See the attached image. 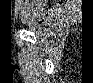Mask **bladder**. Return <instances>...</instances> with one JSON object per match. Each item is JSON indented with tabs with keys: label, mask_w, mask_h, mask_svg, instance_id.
<instances>
[{
	"label": "bladder",
	"mask_w": 93,
	"mask_h": 83,
	"mask_svg": "<svg viewBox=\"0 0 93 83\" xmlns=\"http://www.w3.org/2000/svg\"><path fill=\"white\" fill-rule=\"evenodd\" d=\"M38 35H44L43 31L41 29H36L35 31Z\"/></svg>",
	"instance_id": "obj_1"
}]
</instances>
